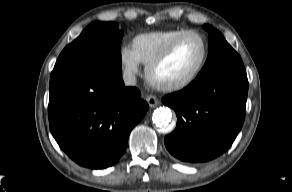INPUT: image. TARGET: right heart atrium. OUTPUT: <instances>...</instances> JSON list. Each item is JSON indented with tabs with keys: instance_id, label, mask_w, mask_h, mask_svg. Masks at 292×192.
Here are the masks:
<instances>
[{
	"instance_id": "d8ad5b80",
	"label": "right heart atrium",
	"mask_w": 292,
	"mask_h": 192,
	"mask_svg": "<svg viewBox=\"0 0 292 192\" xmlns=\"http://www.w3.org/2000/svg\"><path fill=\"white\" fill-rule=\"evenodd\" d=\"M119 60L122 66L123 75L129 81H133L140 71L141 62L139 61L134 49L124 45L119 50Z\"/></svg>"
}]
</instances>
